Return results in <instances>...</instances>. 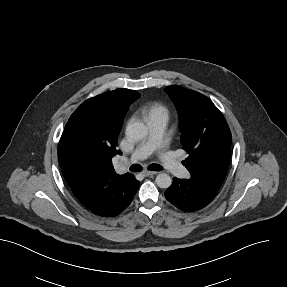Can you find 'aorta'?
Segmentation results:
<instances>
[{
  "instance_id": "obj_1",
  "label": "aorta",
  "mask_w": 287,
  "mask_h": 287,
  "mask_svg": "<svg viewBox=\"0 0 287 287\" xmlns=\"http://www.w3.org/2000/svg\"><path fill=\"white\" fill-rule=\"evenodd\" d=\"M148 134L147 126L142 122L129 123L126 127V135L130 140L139 141ZM155 183L158 187L167 189L172 184L171 177L166 173H159L156 176Z\"/></svg>"
}]
</instances>
